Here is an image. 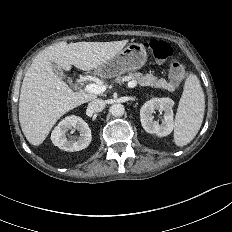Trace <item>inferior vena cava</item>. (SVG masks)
<instances>
[{"label":"inferior vena cava","mask_w":232,"mask_h":232,"mask_svg":"<svg viewBox=\"0 0 232 232\" xmlns=\"http://www.w3.org/2000/svg\"><path fill=\"white\" fill-rule=\"evenodd\" d=\"M105 101L102 100V99H93L92 101L89 102L88 104V109L91 111V112H100L102 111L104 108H105Z\"/></svg>","instance_id":"602c4592"}]
</instances>
